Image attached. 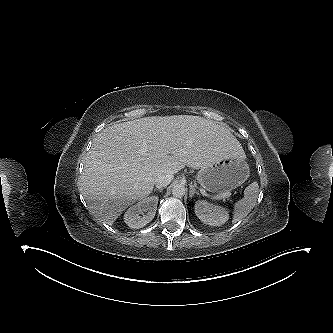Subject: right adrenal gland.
Here are the masks:
<instances>
[{
  "label": "right adrenal gland",
  "instance_id": "obj_1",
  "mask_svg": "<svg viewBox=\"0 0 333 333\" xmlns=\"http://www.w3.org/2000/svg\"><path fill=\"white\" fill-rule=\"evenodd\" d=\"M157 190H158L159 192H162V191H163V188H155V189H154V192L157 191Z\"/></svg>",
  "mask_w": 333,
  "mask_h": 333
}]
</instances>
